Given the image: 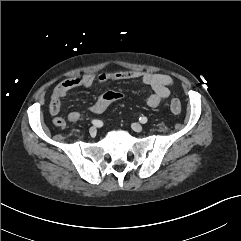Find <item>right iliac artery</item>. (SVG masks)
Masks as SVG:
<instances>
[{"label":"right iliac artery","instance_id":"obj_1","mask_svg":"<svg viewBox=\"0 0 241 241\" xmlns=\"http://www.w3.org/2000/svg\"><path fill=\"white\" fill-rule=\"evenodd\" d=\"M92 123L97 127H101L103 125V122L100 120H93Z\"/></svg>","mask_w":241,"mask_h":241}]
</instances>
